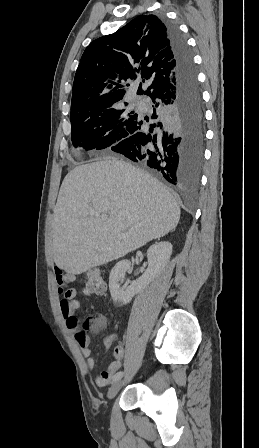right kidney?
<instances>
[{
	"label": "right kidney",
	"instance_id": "ca27d5eb",
	"mask_svg": "<svg viewBox=\"0 0 259 448\" xmlns=\"http://www.w3.org/2000/svg\"><path fill=\"white\" fill-rule=\"evenodd\" d=\"M171 254L172 244L170 242H158V244L150 246L147 250L148 268L146 272L136 282H131L128 288H120V286L125 272L131 270V262L129 260L117 262L109 276V290L114 304L116 306L129 304L133 296H136L140 290H144L150 282H153L154 278L161 274L162 270L166 268Z\"/></svg>",
	"mask_w": 259,
	"mask_h": 448
}]
</instances>
